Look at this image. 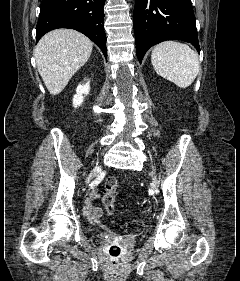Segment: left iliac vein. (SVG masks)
Masks as SVG:
<instances>
[{
	"label": "left iliac vein",
	"instance_id": "left-iliac-vein-1",
	"mask_svg": "<svg viewBox=\"0 0 240 281\" xmlns=\"http://www.w3.org/2000/svg\"><path fill=\"white\" fill-rule=\"evenodd\" d=\"M153 175V173H152ZM153 183H154V186L157 187L158 186V181L155 177H153Z\"/></svg>",
	"mask_w": 240,
	"mask_h": 281
}]
</instances>
